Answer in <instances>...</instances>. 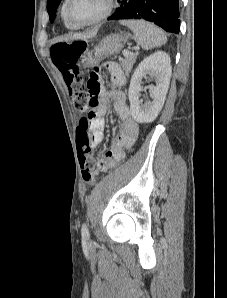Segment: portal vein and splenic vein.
Returning a JSON list of instances; mask_svg holds the SVG:
<instances>
[{
    "mask_svg": "<svg viewBox=\"0 0 227 298\" xmlns=\"http://www.w3.org/2000/svg\"><path fill=\"white\" fill-rule=\"evenodd\" d=\"M138 47H136L135 49H137ZM131 54V51H129V50H124L123 51V55L125 56V57H128L129 55Z\"/></svg>",
    "mask_w": 227,
    "mask_h": 298,
    "instance_id": "portal-vein-and-splenic-vein-1",
    "label": "portal vein and splenic vein"
}]
</instances>
